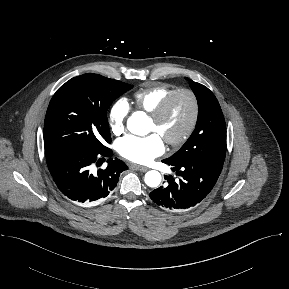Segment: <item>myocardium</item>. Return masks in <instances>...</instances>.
I'll list each match as a JSON object with an SVG mask.
<instances>
[{
  "instance_id": "1",
  "label": "myocardium",
  "mask_w": 289,
  "mask_h": 289,
  "mask_svg": "<svg viewBox=\"0 0 289 289\" xmlns=\"http://www.w3.org/2000/svg\"><path fill=\"white\" fill-rule=\"evenodd\" d=\"M182 94L188 95L192 101V106H193L192 116H191V120L187 128L179 137L175 139L165 140L166 144L170 147H179L183 145L186 141L190 139V137L195 132L198 122H199V117H200V102H199L198 96L191 89H188V88L177 89L176 91L171 93L169 96H167L161 102V104L153 112L150 113V118L152 120H154L157 123L162 121L167 115L168 111L170 110L175 99Z\"/></svg>"
}]
</instances>
